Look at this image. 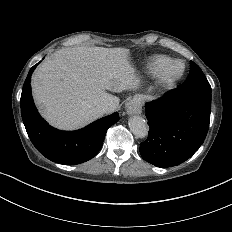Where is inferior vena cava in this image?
Segmentation results:
<instances>
[{
    "label": "inferior vena cava",
    "mask_w": 232,
    "mask_h": 232,
    "mask_svg": "<svg viewBox=\"0 0 232 232\" xmlns=\"http://www.w3.org/2000/svg\"><path fill=\"white\" fill-rule=\"evenodd\" d=\"M98 110H100L102 112V114L114 111V106H113L112 100H105V101H103L98 106Z\"/></svg>",
    "instance_id": "obj_1"
}]
</instances>
